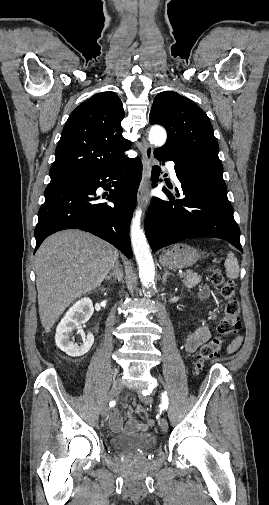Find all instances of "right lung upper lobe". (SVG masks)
<instances>
[{
    "mask_svg": "<svg viewBox=\"0 0 269 505\" xmlns=\"http://www.w3.org/2000/svg\"><path fill=\"white\" fill-rule=\"evenodd\" d=\"M122 102L114 92H101L69 116L55 151L48 186L70 182L124 158L131 142L122 136Z\"/></svg>",
    "mask_w": 269,
    "mask_h": 505,
    "instance_id": "cb5924a9",
    "label": "right lung upper lobe"
}]
</instances>
